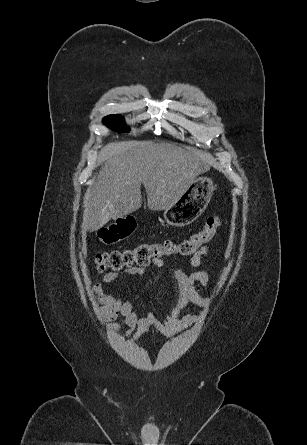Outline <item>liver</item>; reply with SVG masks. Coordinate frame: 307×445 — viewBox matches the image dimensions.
<instances>
[{
  "label": "liver",
  "mask_w": 307,
  "mask_h": 445,
  "mask_svg": "<svg viewBox=\"0 0 307 445\" xmlns=\"http://www.w3.org/2000/svg\"><path fill=\"white\" fill-rule=\"evenodd\" d=\"M103 150L106 160L84 204L82 225L90 233L111 218H123L138 210L141 184L147 192L148 208L164 210L185 192L195 176L210 168L208 154L172 142L121 140Z\"/></svg>",
  "instance_id": "obj_1"
}]
</instances>
